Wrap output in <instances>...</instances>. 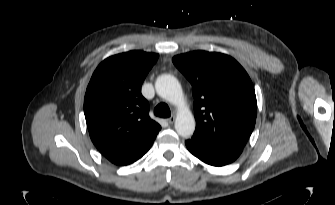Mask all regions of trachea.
Wrapping results in <instances>:
<instances>
[{
    "instance_id": "obj_1",
    "label": "trachea",
    "mask_w": 335,
    "mask_h": 205,
    "mask_svg": "<svg viewBox=\"0 0 335 205\" xmlns=\"http://www.w3.org/2000/svg\"><path fill=\"white\" fill-rule=\"evenodd\" d=\"M154 114L158 117L167 118L170 117L171 111L167 104L160 103L155 107Z\"/></svg>"
}]
</instances>
